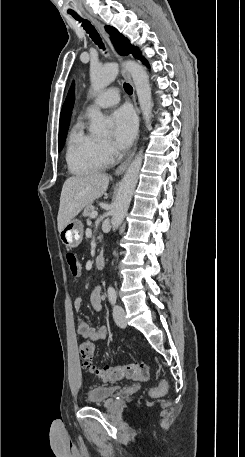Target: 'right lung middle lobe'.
<instances>
[{
  "label": "right lung middle lobe",
  "instance_id": "dd1d6c3e",
  "mask_svg": "<svg viewBox=\"0 0 245 457\" xmlns=\"http://www.w3.org/2000/svg\"><path fill=\"white\" fill-rule=\"evenodd\" d=\"M67 131H68V126L59 129V141H58V150L59 151H61V149L63 148Z\"/></svg>",
  "mask_w": 245,
  "mask_h": 457
}]
</instances>
